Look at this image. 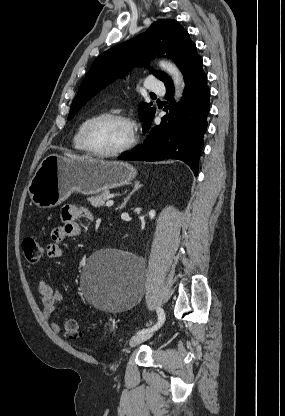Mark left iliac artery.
I'll list each match as a JSON object with an SVG mask.
<instances>
[{
  "label": "left iliac artery",
  "mask_w": 285,
  "mask_h": 416,
  "mask_svg": "<svg viewBox=\"0 0 285 416\" xmlns=\"http://www.w3.org/2000/svg\"><path fill=\"white\" fill-rule=\"evenodd\" d=\"M157 314H158V322H157V324L155 326H153L152 328H149V329H146V330L143 329V330L137 332V334L145 333L147 331H153V330L159 328L164 323V321H165V313H164V310L161 307H157Z\"/></svg>",
  "instance_id": "left-iliac-artery-1"
}]
</instances>
